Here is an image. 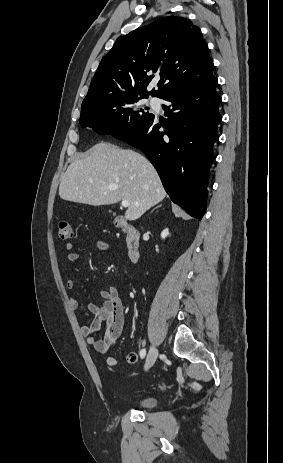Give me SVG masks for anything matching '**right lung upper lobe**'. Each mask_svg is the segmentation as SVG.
<instances>
[{
	"mask_svg": "<svg viewBox=\"0 0 283 463\" xmlns=\"http://www.w3.org/2000/svg\"><path fill=\"white\" fill-rule=\"evenodd\" d=\"M213 61L201 30L168 16L118 38L91 81L82 105L113 95L162 98L182 86L208 81ZM155 75L159 89L147 91Z\"/></svg>",
	"mask_w": 283,
	"mask_h": 463,
	"instance_id": "cb5924a9",
	"label": "right lung upper lobe"
}]
</instances>
